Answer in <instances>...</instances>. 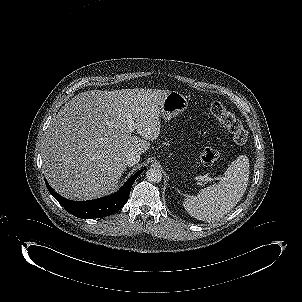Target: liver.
Here are the masks:
<instances>
[{
	"mask_svg": "<svg viewBox=\"0 0 302 302\" xmlns=\"http://www.w3.org/2000/svg\"><path fill=\"white\" fill-rule=\"evenodd\" d=\"M170 91L91 90L73 97L49 126L43 150L51 187L71 200L111 193L127 168L125 157L140 155L160 134L159 109ZM132 116L137 134L129 131Z\"/></svg>",
	"mask_w": 302,
	"mask_h": 302,
	"instance_id": "1",
	"label": "liver"
}]
</instances>
